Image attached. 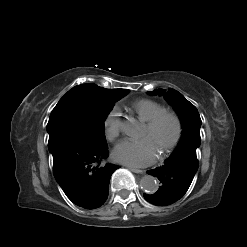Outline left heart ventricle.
Wrapping results in <instances>:
<instances>
[{"mask_svg":"<svg viewBox=\"0 0 247 247\" xmlns=\"http://www.w3.org/2000/svg\"><path fill=\"white\" fill-rule=\"evenodd\" d=\"M174 125L172 121H164L155 131L150 132L145 126L142 137H147L153 141L157 150H160L172 137Z\"/></svg>","mask_w":247,"mask_h":247,"instance_id":"left-heart-ventricle-1","label":"left heart ventricle"}]
</instances>
